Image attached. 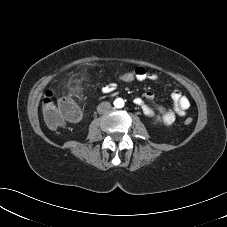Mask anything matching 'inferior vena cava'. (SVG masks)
<instances>
[{
  "mask_svg": "<svg viewBox=\"0 0 227 227\" xmlns=\"http://www.w3.org/2000/svg\"><path fill=\"white\" fill-rule=\"evenodd\" d=\"M111 109V103L110 102H102L98 105L97 111L98 113H104Z\"/></svg>",
  "mask_w": 227,
  "mask_h": 227,
  "instance_id": "602c4592",
  "label": "inferior vena cava"
}]
</instances>
